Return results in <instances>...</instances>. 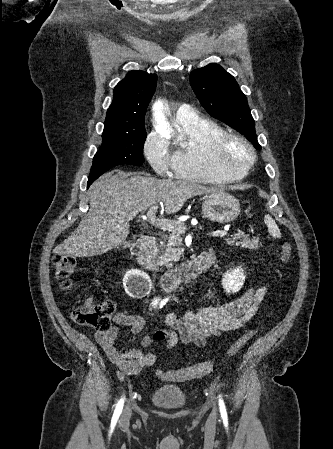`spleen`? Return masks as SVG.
Returning <instances> with one entry per match:
<instances>
[{
    "mask_svg": "<svg viewBox=\"0 0 333 449\" xmlns=\"http://www.w3.org/2000/svg\"><path fill=\"white\" fill-rule=\"evenodd\" d=\"M265 224L267 225L269 232L273 236H275V237L280 236V230H279L275 220L269 214L265 216Z\"/></svg>",
    "mask_w": 333,
    "mask_h": 449,
    "instance_id": "spleen-1",
    "label": "spleen"
}]
</instances>
